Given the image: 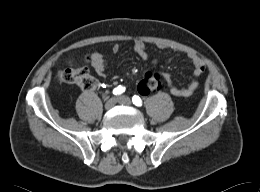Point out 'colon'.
I'll list each match as a JSON object with an SVG mask.
<instances>
[{
	"label": "colon",
	"mask_w": 260,
	"mask_h": 192,
	"mask_svg": "<svg viewBox=\"0 0 260 192\" xmlns=\"http://www.w3.org/2000/svg\"><path fill=\"white\" fill-rule=\"evenodd\" d=\"M94 54L86 56V61L91 62ZM63 79L71 84L76 85L82 90H91L96 85L95 78L89 73L87 68L76 67L70 64L63 72ZM150 85V93L156 92L161 88L160 77L158 74H151L146 77Z\"/></svg>",
	"instance_id": "colon-1"
}]
</instances>
